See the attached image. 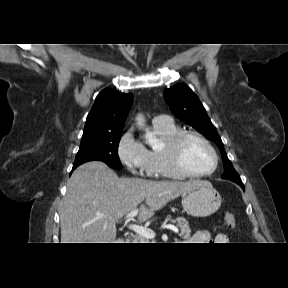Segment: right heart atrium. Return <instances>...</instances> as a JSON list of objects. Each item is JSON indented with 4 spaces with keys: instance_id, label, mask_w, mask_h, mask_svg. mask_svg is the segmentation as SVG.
Here are the masks:
<instances>
[{
    "instance_id": "1",
    "label": "right heart atrium",
    "mask_w": 288,
    "mask_h": 288,
    "mask_svg": "<svg viewBox=\"0 0 288 288\" xmlns=\"http://www.w3.org/2000/svg\"><path fill=\"white\" fill-rule=\"evenodd\" d=\"M120 162L134 175L153 176L149 168V153L146 147L135 138L133 132H125L117 147Z\"/></svg>"
}]
</instances>
